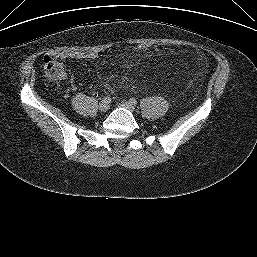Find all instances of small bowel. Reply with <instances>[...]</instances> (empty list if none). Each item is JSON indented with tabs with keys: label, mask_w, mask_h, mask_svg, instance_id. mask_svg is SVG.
<instances>
[{
	"label": "small bowel",
	"mask_w": 257,
	"mask_h": 257,
	"mask_svg": "<svg viewBox=\"0 0 257 257\" xmlns=\"http://www.w3.org/2000/svg\"><path fill=\"white\" fill-rule=\"evenodd\" d=\"M98 54L96 52H84V51H58L52 50L47 53L46 58L56 59H95Z\"/></svg>",
	"instance_id": "c3829d8e"
}]
</instances>
